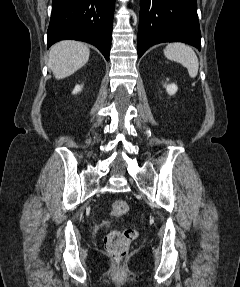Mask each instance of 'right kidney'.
<instances>
[{"mask_svg":"<svg viewBox=\"0 0 240 287\" xmlns=\"http://www.w3.org/2000/svg\"><path fill=\"white\" fill-rule=\"evenodd\" d=\"M82 87H83L82 85H76L72 93L76 94L80 92L82 90Z\"/></svg>","mask_w":240,"mask_h":287,"instance_id":"ca27d5eb","label":"right kidney"}]
</instances>
